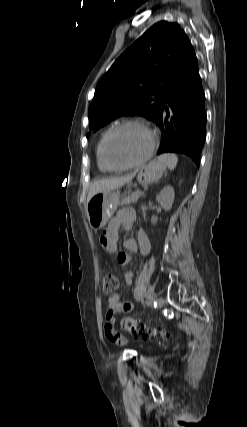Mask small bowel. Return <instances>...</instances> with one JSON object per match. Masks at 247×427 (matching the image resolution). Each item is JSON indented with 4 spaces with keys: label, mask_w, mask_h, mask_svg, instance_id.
Listing matches in <instances>:
<instances>
[{
    "label": "small bowel",
    "mask_w": 247,
    "mask_h": 427,
    "mask_svg": "<svg viewBox=\"0 0 247 427\" xmlns=\"http://www.w3.org/2000/svg\"><path fill=\"white\" fill-rule=\"evenodd\" d=\"M136 215L132 209L125 208L120 210L117 215L109 222L107 229L101 237L102 247L116 255L117 262L121 266H126L131 256L126 252L118 250V243L120 241V231L122 228L125 230H132L135 227ZM124 248L130 253L141 252L142 255L147 256L151 251V244L146 233L139 229L137 231L136 239H126L123 241ZM134 281L133 273L126 271L125 283L131 285ZM134 305L129 301H121L118 294H113L108 299V311L104 320V333L106 338L115 345H123L126 343V338L117 333L114 329L115 315L123 312H131Z\"/></svg>",
    "instance_id": "1"
}]
</instances>
